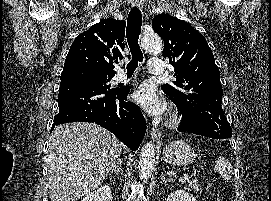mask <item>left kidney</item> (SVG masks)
Segmentation results:
<instances>
[{"label": "left kidney", "mask_w": 271, "mask_h": 201, "mask_svg": "<svg viewBox=\"0 0 271 201\" xmlns=\"http://www.w3.org/2000/svg\"><path fill=\"white\" fill-rule=\"evenodd\" d=\"M167 201H196V199L184 190H176L168 196Z\"/></svg>", "instance_id": "obj_1"}]
</instances>
